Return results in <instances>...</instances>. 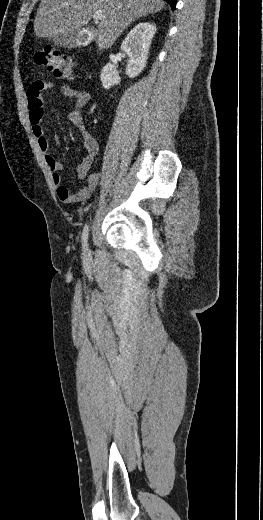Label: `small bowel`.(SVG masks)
I'll use <instances>...</instances> for the list:
<instances>
[{
  "mask_svg": "<svg viewBox=\"0 0 263 520\" xmlns=\"http://www.w3.org/2000/svg\"><path fill=\"white\" fill-rule=\"evenodd\" d=\"M53 86V83L49 81L35 80L28 87L27 100L31 128L35 138L37 139L40 150L45 154V163L50 170L52 180L57 187L59 199L64 203L82 202L90 197L99 182L98 173H89L93 159L98 153L99 145L96 138L84 126L80 112V109L90 100V94L87 91L78 90L69 85H61L58 88L62 95L72 99L74 102L76 109L69 113L68 119L79 129L87 151L86 157L76 167L78 177L84 179L86 184L78 191L73 192L63 184L62 176L60 174V171L63 168L62 163L48 153L49 141L42 126L44 116L43 92L51 89Z\"/></svg>",
  "mask_w": 263,
  "mask_h": 520,
  "instance_id": "1",
  "label": "small bowel"
}]
</instances>
